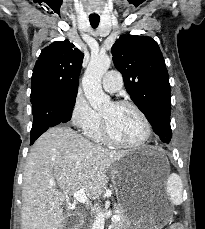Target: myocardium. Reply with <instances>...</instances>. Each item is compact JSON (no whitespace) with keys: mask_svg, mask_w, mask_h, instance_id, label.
Instances as JSON below:
<instances>
[{"mask_svg":"<svg viewBox=\"0 0 205 229\" xmlns=\"http://www.w3.org/2000/svg\"><path fill=\"white\" fill-rule=\"evenodd\" d=\"M112 103L117 106H126L132 108L142 120V123L144 125V135L136 142L126 143L119 141L116 138H114L110 131L106 118L101 114V129L104 140L110 145L120 148H137L144 145L150 139L152 133L151 124L146 114L135 103L128 100H118Z\"/></svg>","mask_w":205,"mask_h":229,"instance_id":"1","label":"myocardium"}]
</instances>
